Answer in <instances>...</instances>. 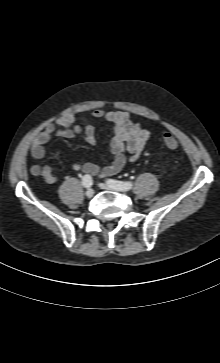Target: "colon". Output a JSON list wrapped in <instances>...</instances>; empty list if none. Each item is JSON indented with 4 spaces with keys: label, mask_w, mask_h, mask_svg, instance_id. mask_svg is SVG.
<instances>
[{
    "label": "colon",
    "mask_w": 220,
    "mask_h": 363,
    "mask_svg": "<svg viewBox=\"0 0 220 363\" xmlns=\"http://www.w3.org/2000/svg\"><path fill=\"white\" fill-rule=\"evenodd\" d=\"M163 141L169 149H175L178 146L177 140L171 133H165L163 135Z\"/></svg>",
    "instance_id": "colon-1"
}]
</instances>
